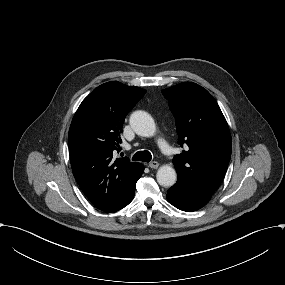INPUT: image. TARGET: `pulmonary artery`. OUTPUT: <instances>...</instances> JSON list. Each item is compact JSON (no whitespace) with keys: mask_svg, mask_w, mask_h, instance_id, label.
Listing matches in <instances>:
<instances>
[{"mask_svg":"<svg viewBox=\"0 0 285 285\" xmlns=\"http://www.w3.org/2000/svg\"><path fill=\"white\" fill-rule=\"evenodd\" d=\"M157 144L160 150L165 154H171L174 149L162 138L157 139Z\"/></svg>","mask_w":285,"mask_h":285,"instance_id":"pulmonary-artery-1","label":"pulmonary artery"}]
</instances>
